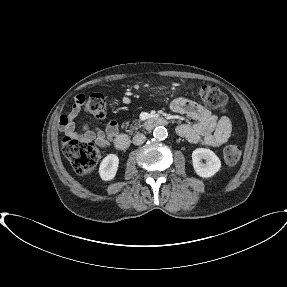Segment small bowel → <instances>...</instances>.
Returning <instances> with one entry per match:
<instances>
[{"label": "small bowel", "mask_w": 287, "mask_h": 287, "mask_svg": "<svg viewBox=\"0 0 287 287\" xmlns=\"http://www.w3.org/2000/svg\"><path fill=\"white\" fill-rule=\"evenodd\" d=\"M172 111L187 115L192 124H181L177 128L178 134L193 144L210 148H220L233 136L234 131L230 118L226 115L217 117L202 105L184 97L175 98L170 103ZM80 106L75 101L72 109L60 117L61 130L69 134H77L88 141H94L100 147H107L119 133L114 120L108 121L103 130L84 127L77 130L75 119L80 113Z\"/></svg>", "instance_id": "obj_1"}]
</instances>
